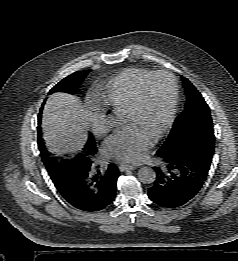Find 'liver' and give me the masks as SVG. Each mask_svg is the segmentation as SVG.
Segmentation results:
<instances>
[{"label": "liver", "mask_w": 238, "mask_h": 261, "mask_svg": "<svg viewBox=\"0 0 238 261\" xmlns=\"http://www.w3.org/2000/svg\"><path fill=\"white\" fill-rule=\"evenodd\" d=\"M90 117L80 100L67 93L52 94L43 110L42 132L56 154L81 150L87 139Z\"/></svg>", "instance_id": "1"}]
</instances>
